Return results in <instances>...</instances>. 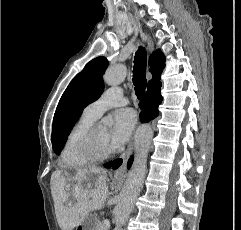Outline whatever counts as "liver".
I'll return each mask as SVG.
<instances>
[{"instance_id": "6515ba94", "label": "liver", "mask_w": 241, "mask_h": 230, "mask_svg": "<svg viewBox=\"0 0 241 230\" xmlns=\"http://www.w3.org/2000/svg\"><path fill=\"white\" fill-rule=\"evenodd\" d=\"M90 175L95 182H89ZM73 181L74 184H68ZM51 193L62 230H73L89 212L104 207L109 196L106 172L98 167L77 169L74 176L60 170L51 176ZM72 198L73 201L69 202Z\"/></svg>"}]
</instances>
